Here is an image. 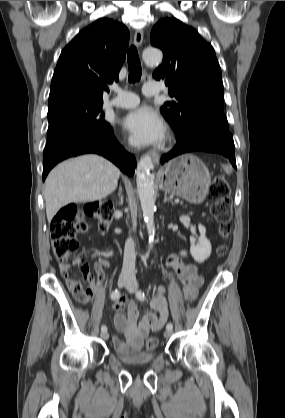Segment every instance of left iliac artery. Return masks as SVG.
<instances>
[{"label": "left iliac artery", "instance_id": "1", "mask_svg": "<svg viewBox=\"0 0 285 418\" xmlns=\"http://www.w3.org/2000/svg\"><path fill=\"white\" fill-rule=\"evenodd\" d=\"M136 297H137L139 300H141V301H144V300L146 299L144 292H141V291H138V292L136 293ZM166 329H167V330H172V329H173V325H172V323H168V324L166 325Z\"/></svg>", "mask_w": 285, "mask_h": 418}]
</instances>
